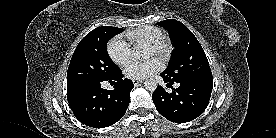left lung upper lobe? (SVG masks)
I'll use <instances>...</instances> for the list:
<instances>
[{
  "label": "left lung upper lobe",
  "mask_w": 276,
  "mask_h": 138,
  "mask_svg": "<svg viewBox=\"0 0 276 138\" xmlns=\"http://www.w3.org/2000/svg\"><path fill=\"white\" fill-rule=\"evenodd\" d=\"M170 34L174 50L163 72L172 81L213 79L207 57L193 33L177 20L158 22Z\"/></svg>",
  "instance_id": "left-lung-upper-lobe-1"
}]
</instances>
